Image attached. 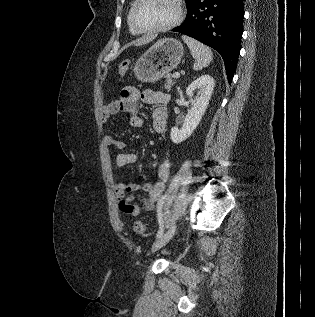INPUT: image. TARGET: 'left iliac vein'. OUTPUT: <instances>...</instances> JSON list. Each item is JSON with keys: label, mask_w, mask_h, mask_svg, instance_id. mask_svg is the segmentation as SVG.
I'll list each match as a JSON object with an SVG mask.
<instances>
[{"label": "left iliac vein", "mask_w": 315, "mask_h": 317, "mask_svg": "<svg viewBox=\"0 0 315 317\" xmlns=\"http://www.w3.org/2000/svg\"><path fill=\"white\" fill-rule=\"evenodd\" d=\"M176 232V225L170 227L165 233H163L152 245V252H155L166 245Z\"/></svg>", "instance_id": "1"}]
</instances>
